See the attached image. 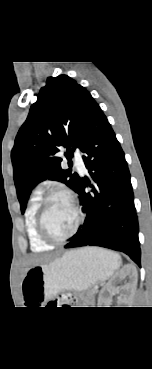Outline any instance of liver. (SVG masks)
Here are the masks:
<instances>
[{"label": "liver", "mask_w": 152, "mask_h": 369, "mask_svg": "<svg viewBox=\"0 0 152 369\" xmlns=\"http://www.w3.org/2000/svg\"><path fill=\"white\" fill-rule=\"evenodd\" d=\"M49 258L45 256H33L28 260V264L32 266L43 264L44 262L48 261Z\"/></svg>", "instance_id": "obj_1"}]
</instances>
